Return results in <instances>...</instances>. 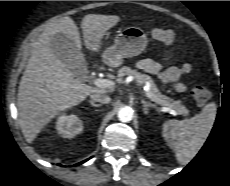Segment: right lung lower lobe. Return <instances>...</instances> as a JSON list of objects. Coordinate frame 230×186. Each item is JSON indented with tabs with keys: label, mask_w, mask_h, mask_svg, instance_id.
I'll list each match as a JSON object with an SVG mask.
<instances>
[{
	"label": "right lung lower lobe",
	"mask_w": 230,
	"mask_h": 186,
	"mask_svg": "<svg viewBox=\"0 0 230 186\" xmlns=\"http://www.w3.org/2000/svg\"><path fill=\"white\" fill-rule=\"evenodd\" d=\"M85 161H87V160H85ZM85 161H82V162H80V163H78V164H76V165L82 164V163H84ZM59 165H60V164H59Z\"/></svg>",
	"instance_id": "98d812e1"
}]
</instances>
